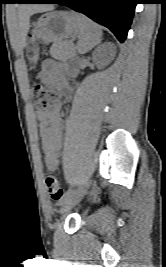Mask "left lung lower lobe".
<instances>
[{
	"label": "left lung lower lobe",
	"mask_w": 166,
	"mask_h": 267,
	"mask_svg": "<svg viewBox=\"0 0 166 267\" xmlns=\"http://www.w3.org/2000/svg\"><path fill=\"white\" fill-rule=\"evenodd\" d=\"M30 3H59L68 6L109 28L120 42H124L137 0H33Z\"/></svg>",
	"instance_id": "1"
}]
</instances>
